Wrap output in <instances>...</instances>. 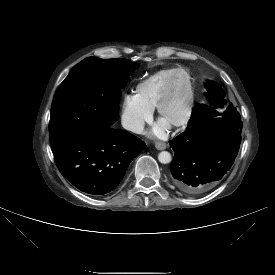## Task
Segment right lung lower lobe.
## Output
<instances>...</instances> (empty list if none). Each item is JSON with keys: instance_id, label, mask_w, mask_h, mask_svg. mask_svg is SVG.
<instances>
[{"instance_id": "right-lung-lower-lobe-1", "label": "right lung lower lobe", "mask_w": 275, "mask_h": 275, "mask_svg": "<svg viewBox=\"0 0 275 275\" xmlns=\"http://www.w3.org/2000/svg\"><path fill=\"white\" fill-rule=\"evenodd\" d=\"M124 85L117 87L120 95ZM51 144L61 174L91 195L114 190L131 161L146 147L136 136L112 126L63 133Z\"/></svg>"}]
</instances>
